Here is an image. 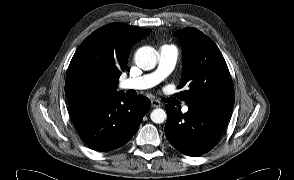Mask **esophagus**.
<instances>
[{"label":"esophagus","mask_w":294,"mask_h":180,"mask_svg":"<svg viewBox=\"0 0 294 180\" xmlns=\"http://www.w3.org/2000/svg\"><path fill=\"white\" fill-rule=\"evenodd\" d=\"M151 106L152 107H160L161 106V102L158 100H151Z\"/></svg>","instance_id":"esophagus-1"}]
</instances>
